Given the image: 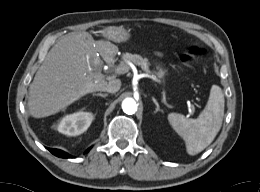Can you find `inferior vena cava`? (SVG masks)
Returning <instances> with one entry per match:
<instances>
[{
    "instance_id": "602c4592",
    "label": "inferior vena cava",
    "mask_w": 260,
    "mask_h": 192,
    "mask_svg": "<svg viewBox=\"0 0 260 192\" xmlns=\"http://www.w3.org/2000/svg\"><path fill=\"white\" fill-rule=\"evenodd\" d=\"M121 87V81L119 79H113L109 81L105 87L101 90L106 91L108 93H116Z\"/></svg>"
}]
</instances>
